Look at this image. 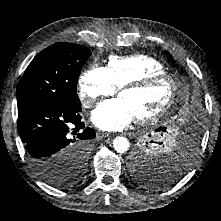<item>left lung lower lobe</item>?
Returning a JSON list of instances; mask_svg holds the SVG:
<instances>
[{"label":"left lung lower lobe","mask_w":221,"mask_h":221,"mask_svg":"<svg viewBox=\"0 0 221 221\" xmlns=\"http://www.w3.org/2000/svg\"><path fill=\"white\" fill-rule=\"evenodd\" d=\"M156 131L165 132V127H160ZM202 126L201 120L199 117L190 116V119L187 122L186 129L180 135L178 141V149L174 151V154L170 155L173 160H176V163L180 165L172 172V176L169 180V183L180 178L185 170L187 163L193 159L198 142L201 137Z\"/></svg>","instance_id":"left-lung-lower-lobe-1"}]
</instances>
